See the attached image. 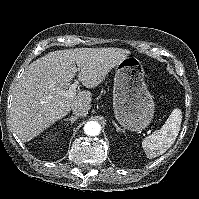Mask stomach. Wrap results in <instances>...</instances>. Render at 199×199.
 I'll return each instance as SVG.
<instances>
[{
  "label": "stomach",
  "mask_w": 199,
  "mask_h": 199,
  "mask_svg": "<svg viewBox=\"0 0 199 199\" xmlns=\"http://www.w3.org/2000/svg\"><path fill=\"white\" fill-rule=\"evenodd\" d=\"M140 60L126 57L115 67L113 108L116 120L131 131L149 126L154 115V101L144 81Z\"/></svg>",
  "instance_id": "1"
}]
</instances>
